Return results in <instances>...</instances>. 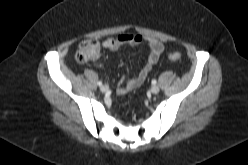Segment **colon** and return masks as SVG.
Segmentation results:
<instances>
[{"mask_svg": "<svg viewBox=\"0 0 248 165\" xmlns=\"http://www.w3.org/2000/svg\"><path fill=\"white\" fill-rule=\"evenodd\" d=\"M99 44L95 40H83L76 51L75 58L79 63L93 62L98 58ZM169 59L172 61H178L181 59V54L178 52H172L169 54Z\"/></svg>", "mask_w": 248, "mask_h": 165, "instance_id": "colon-1", "label": "colon"}]
</instances>
